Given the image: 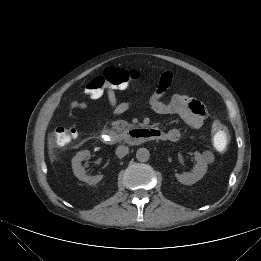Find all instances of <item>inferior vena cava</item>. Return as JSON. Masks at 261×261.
<instances>
[{
    "label": "inferior vena cava",
    "mask_w": 261,
    "mask_h": 261,
    "mask_svg": "<svg viewBox=\"0 0 261 261\" xmlns=\"http://www.w3.org/2000/svg\"><path fill=\"white\" fill-rule=\"evenodd\" d=\"M128 152H129V148L124 145H120L116 149V155L120 158H123L124 156H126L128 154Z\"/></svg>",
    "instance_id": "obj_1"
}]
</instances>
